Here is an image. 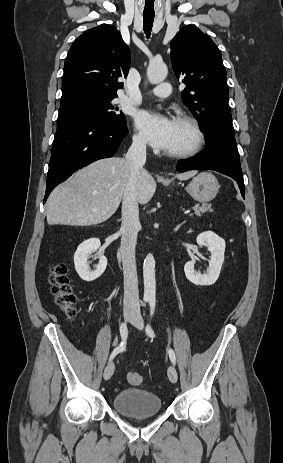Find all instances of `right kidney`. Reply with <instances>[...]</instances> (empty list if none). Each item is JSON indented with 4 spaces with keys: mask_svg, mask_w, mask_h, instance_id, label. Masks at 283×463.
Wrapping results in <instances>:
<instances>
[{
    "mask_svg": "<svg viewBox=\"0 0 283 463\" xmlns=\"http://www.w3.org/2000/svg\"><path fill=\"white\" fill-rule=\"evenodd\" d=\"M101 243L98 238H91L84 242H82L75 254H74V265L75 270L80 276V278L84 281H94L98 277H100L107 266V258L104 255H100L99 263L95 270H90L88 264V257L95 251L98 250Z\"/></svg>",
    "mask_w": 283,
    "mask_h": 463,
    "instance_id": "right-kidney-1",
    "label": "right kidney"
}]
</instances>
